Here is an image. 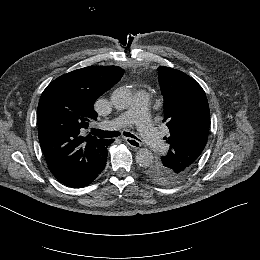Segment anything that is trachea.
Instances as JSON below:
<instances>
[{
  "instance_id": "obj_1",
  "label": "trachea",
  "mask_w": 260,
  "mask_h": 260,
  "mask_svg": "<svg viewBox=\"0 0 260 260\" xmlns=\"http://www.w3.org/2000/svg\"><path fill=\"white\" fill-rule=\"evenodd\" d=\"M91 134L103 139V138H114V137L120 136L121 133L117 130L104 131V130H100V129L91 128ZM123 135L126 137L137 139L136 136H134L130 132H123ZM137 140H139V139H137Z\"/></svg>"
}]
</instances>
